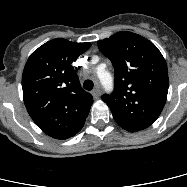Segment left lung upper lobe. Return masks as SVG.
Instances as JSON below:
<instances>
[{
  "label": "left lung upper lobe",
  "instance_id": "obj_1",
  "mask_svg": "<svg viewBox=\"0 0 187 187\" xmlns=\"http://www.w3.org/2000/svg\"><path fill=\"white\" fill-rule=\"evenodd\" d=\"M114 66V91L102 95L119 126L129 132L149 127L159 117L168 93V70L158 48L127 31L98 41Z\"/></svg>",
  "mask_w": 187,
  "mask_h": 187
}]
</instances>
